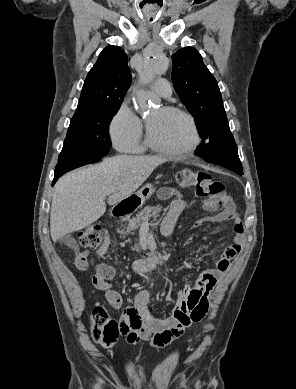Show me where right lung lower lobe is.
Wrapping results in <instances>:
<instances>
[{
	"mask_svg": "<svg viewBox=\"0 0 296 389\" xmlns=\"http://www.w3.org/2000/svg\"><path fill=\"white\" fill-rule=\"evenodd\" d=\"M68 171H70V170H68V169L55 170V172H54V179H53L52 185H54L56 183V181L58 180V178L60 176H62L64 173H66Z\"/></svg>",
	"mask_w": 296,
	"mask_h": 389,
	"instance_id": "right-lung-lower-lobe-1",
	"label": "right lung lower lobe"
}]
</instances>
